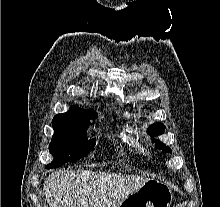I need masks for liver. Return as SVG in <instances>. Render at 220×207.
Listing matches in <instances>:
<instances>
[{"label": "liver", "instance_id": "liver-1", "mask_svg": "<svg viewBox=\"0 0 220 207\" xmlns=\"http://www.w3.org/2000/svg\"><path fill=\"white\" fill-rule=\"evenodd\" d=\"M146 179L91 170L55 171L44 180L50 207H118Z\"/></svg>", "mask_w": 220, "mask_h": 207}]
</instances>
